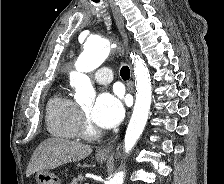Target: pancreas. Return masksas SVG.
Wrapping results in <instances>:
<instances>
[{
    "instance_id": "1",
    "label": "pancreas",
    "mask_w": 224,
    "mask_h": 184,
    "mask_svg": "<svg viewBox=\"0 0 224 184\" xmlns=\"http://www.w3.org/2000/svg\"><path fill=\"white\" fill-rule=\"evenodd\" d=\"M71 184H81V178L79 177V178H74L73 180H72V182H71Z\"/></svg>"
}]
</instances>
